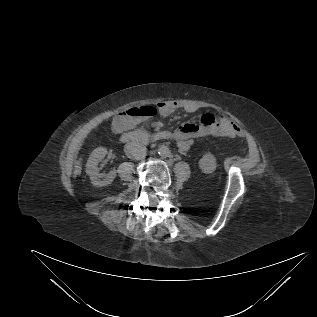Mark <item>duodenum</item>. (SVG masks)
<instances>
[{
  "label": "duodenum",
  "mask_w": 317,
  "mask_h": 317,
  "mask_svg": "<svg viewBox=\"0 0 317 317\" xmlns=\"http://www.w3.org/2000/svg\"><path fill=\"white\" fill-rule=\"evenodd\" d=\"M173 137L170 131H157L154 133H146L143 131L124 132L120 135L123 142L148 145L159 141L170 140Z\"/></svg>",
  "instance_id": "1"
}]
</instances>
